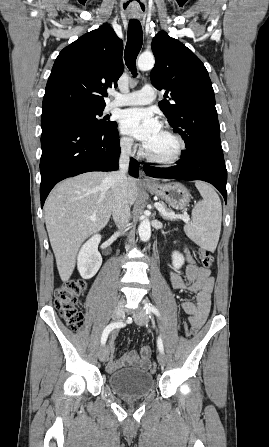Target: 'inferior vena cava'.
Instances as JSON below:
<instances>
[{
	"label": "inferior vena cava",
	"mask_w": 269,
	"mask_h": 447,
	"mask_svg": "<svg viewBox=\"0 0 269 447\" xmlns=\"http://www.w3.org/2000/svg\"><path fill=\"white\" fill-rule=\"evenodd\" d=\"M133 140H124L120 144L119 172H111L107 176L112 184V214L113 220L119 231H125L128 227L131 214L127 196V170L129 158L132 156Z\"/></svg>",
	"instance_id": "obj_1"
}]
</instances>
